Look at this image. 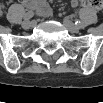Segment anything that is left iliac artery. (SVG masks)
<instances>
[{
    "label": "left iliac artery",
    "instance_id": "left-iliac-artery-1",
    "mask_svg": "<svg viewBox=\"0 0 103 103\" xmlns=\"http://www.w3.org/2000/svg\"><path fill=\"white\" fill-rule=\"evenodd\" d=\"M75 24L79 27H85L86 26V23L85 22H82V21H76Z\"/></svg>",
    "mask_w": 103,
    "mask_h": 103
}]
</instances>
